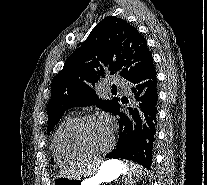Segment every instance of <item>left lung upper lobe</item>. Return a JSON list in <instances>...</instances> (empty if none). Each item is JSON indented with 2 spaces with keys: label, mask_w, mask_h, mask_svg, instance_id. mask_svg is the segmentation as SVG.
Here are the masks:
<instances>
[{
  "label": "left lung upper lobe",
  "mask_w": 207,
  "mask_h": 185,
  "mask_svg": "<svg viewBox=\"0 0 207 185\" xmlns=\"http://www.w3.org/2000/svg\"><path fill=\"white\" fill-rule=\"evenodd\" d=\"M152 64L147 43L137 29L123 19L105 17L52 80L47 134L71 107L96 105L117 114L119 98L100 100L94 89L96 82L114 74L131 81Z\"/></svg>",
  "instance_id": "1"
}]
</instances>
